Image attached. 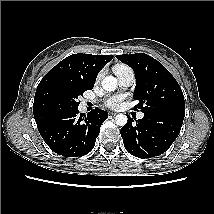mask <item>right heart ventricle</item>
<instances>
[{
  "instance_id": "right-heart-ventricle-1",
  "label": "right heart ventricle",
  "mask_w": 214,
  "mask_h": 214,
  "mask_svg": "<svg viewBox=\"0 0 214 214\" xmlns=\"http://www.w3.org/2000/svg\"><path fill=\"white\" fill-rule=\"evenodd\" d=\"M125 67H128V66L122 65V64H118V65H116V66L114 67V71L117 70V69H119V68H125Z\"/></svg>"
}]
</instances>
